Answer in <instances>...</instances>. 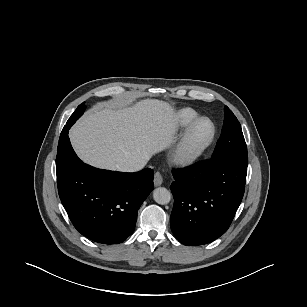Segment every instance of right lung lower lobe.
Segmentation results:
<instances>
[{
	"instance_id": "1",
	"label": "right lung lower lobe",
	"mask_w": 307,
	"mask_h": 307,
	"mask_svg": "<svg viewBox=\"0 0 307 307\" xmlns=\"http://www.w3.org/2000/svg\"><path fill=\"white\" fill-rule=\"evenodd\" d=\"M61 136L57 185L71 222L95 242H123L134 231L138 209L153 190V170L123 173L94 168L77 157L68 129H63Z\"/></svg>"
}]
</instances>
